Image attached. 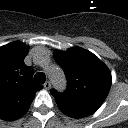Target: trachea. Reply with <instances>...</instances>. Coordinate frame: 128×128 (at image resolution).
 Returning <instances> with one entry per match:
<instances>
[{
  "mask_svg": "<svg viewBox=\"0 0 128 128\" xmlns=\"http://www.w3.org/2000/svg\"><path fill=\"white\" fill-rule=\"evenodd\" d=\"M34 80L36 83L38 84H43L46 80V76L44 73L42 72H37L34 76Z\"/></svg>",
  "mask_w": 128,
  "mask_h": 128,
  "instance_id": "1",
  "label": "trachea"
}]
</instances>
